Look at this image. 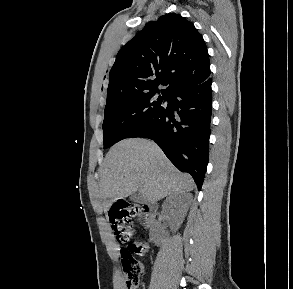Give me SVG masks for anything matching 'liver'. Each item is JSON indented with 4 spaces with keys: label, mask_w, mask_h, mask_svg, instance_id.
I'll list each match as a JSON object with an SVG mask.
<instances>
[{
    "label": "liver",
    "mask_w": 293,
    "mask_h": 289,
    "mask_svg": "<svg viewBox=\"0 0 293 289\" xmlns=\"http://www.w3.org/2000/svg\"><path fill=\"white\" fill-rule=\"evenodd\" d=\"M100 197L126 198L137 191L143 202H157L178 192L193 190L194 181L179 172L154 142L125 139L106 154L101 169Z\"/></svg>",
    "instance_id": "6515ba94"
}]
</instances>
